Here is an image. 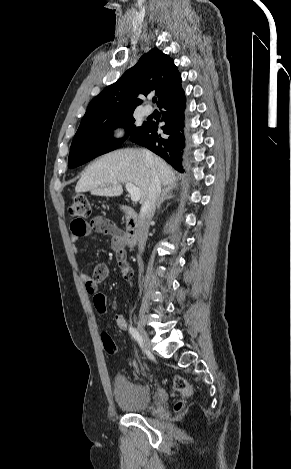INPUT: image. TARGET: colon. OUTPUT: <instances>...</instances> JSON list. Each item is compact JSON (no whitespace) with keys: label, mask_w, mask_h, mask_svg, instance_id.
Masks as SVG:
<instances>
[{"label":"colon","mask_w":291,"mask_h":469,"mask_svg":"<svg viewBox=\"0 0 291 469\" xmlns=\"http://www.w3.org/2000/svg\"><path fill=\"white\" fill-rule=\"evenodd\" d=\"M70 215L77 218V220L84 221V219L88 218L91 213L90 203L86 196L84 195H77L73 203L69 208ZM118 264L121 268V272L123 278L125 280H130L132 277V269L127 263L123 254H118L117 256ZM109 302V294L103 293L101 290H98L95 293V297L92 301V306L94 307V311L96 313H105L107 311V303ZM101 339L103 343L104 350L110 354L114 355L117 352V346L114 343L113 339L105 332L101 334ZM174 389L181 393L183 396L188 397L192 394V387L188 383V381L182 377L177 376L174 378L173 382ZM182 407V403L179 402L176 405V409H180Z\"/></svg>","instance_id":"1"}]
</instances>
